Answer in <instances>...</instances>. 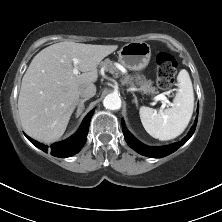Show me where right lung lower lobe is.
I'll return each mask as SVG.
<instances>
[{
    "label": "right lung lower lobe",
    "mask_w": 222,
    "mask_h": 222,
    "mask_svg": "<svg viewBox=\"0 0 222 222\" xmlns=\"http://www.w3.org/2000/svg\"><path fill=\"white\" fill-rule=\"evenodd\" d=\"M93 113H94V110H92L90 113L87 114L79 130L73 136H71L70 138L64 141L54 143L50 145L49 148L45 146L44 144H40L36 142L35 140L31 139L27 135L25 136L36 147H38L44 152H47L49 150L51 152V155L53 156L60 157V158L72 156L76 154L86 142L88 129H89V123H90V119Z\"/></svg>",
    "instance_id": "98d812e1"
}]
</instances>
